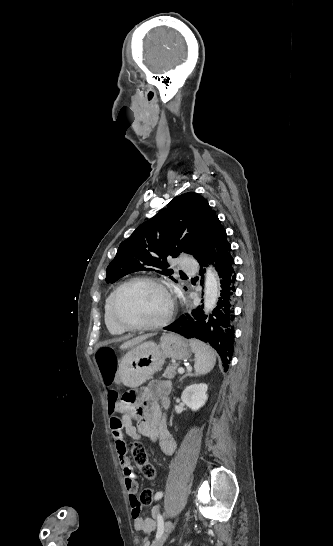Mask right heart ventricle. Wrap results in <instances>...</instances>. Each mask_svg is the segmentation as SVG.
<instances>
[{
	"mask_svg": "<svg viewBox=\"0 0 333 546\" xmlns=\"http://www.w3.org/2000/svg\"><path fill=\"white\" fill-rule=\"evenodd\" d=\"M114 290L108 294V296L105 299L104 303V322L108 329V331L115 336L123 335L125 333V330L120 328L116 323L114 322L112 316H111V300L113 296Z\"/></svg>",
	"mask_w": 333,
	"mask_h": 546,
	"instance_id": "e07e8e85",
	"label": "right heart ventricle"
}]
</instances>
